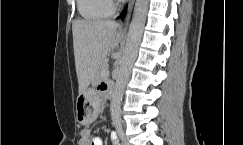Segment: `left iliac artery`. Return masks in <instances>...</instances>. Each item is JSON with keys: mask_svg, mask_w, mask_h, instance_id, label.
I'll use <instances>...</instances> for the list:
<instances>
[{"mask_svg": "<svg viewBox=\"0 0 243 145\" xmlns=\"http://www.w3.org/2000/svg\"><path fill=\"white\" fill-rule=\"evenodd\" d=\"M118 136L121 138V140H125V135H124V131L122 128V124L120 122L115 124Z\"/></svg>", "mask_w": 243, "mask_h": 145, "instance_id": "obj_1", "label": "left iliac artery"}]
</instances>
